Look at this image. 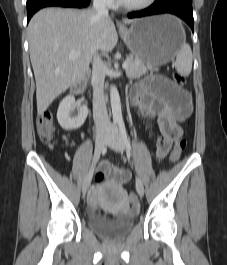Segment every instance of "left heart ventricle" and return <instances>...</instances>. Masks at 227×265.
Instances as JSON below:
<instances>
[{"instance_id":"1","label":"left heart ventricle","mask_w":227,"mask_h":265,"mask_svg":"<svg viewBox=\"0 0 227 265\" xmlns=\"http://www.w3.org/2000/svg\"><path fill=\"white\" fill-rule=\"evenodd\" d=\"M122 1L129 5H136L144 2L145 0H122Z\"/></svg>"}]
</instances>
